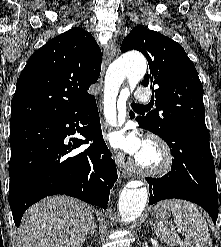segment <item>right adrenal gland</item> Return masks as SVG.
<instances>
[{
  "instance_id": "right-adrenal-gland-1",
  "label": "right adrenal gland",
  "mask_w": 221,
  "mask_h": 247,
  "mask_svg": "<svg viewBox=\"0 0 221 247\" xmlns=\"http://www.w3.org/2000/svg\"><path fill=\"white\" fill-rule=\"evenodd\" d=\"M96 232H97V226H96L95 221L93 220L91 223V228L89 230V235L93 236L95 234V236H96Z\"/></svg>"
}]
</instances>
